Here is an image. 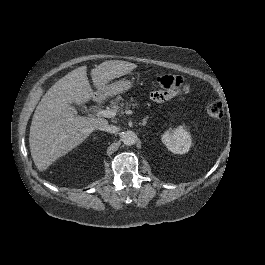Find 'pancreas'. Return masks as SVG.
<instances>
[{
  "label": "pancreas",
  "mask_w": 265,
  "mask_h": 265,
  "mask_svg": "<svg viewBox=\"0 0 265 265\" xmlns=\"http://www.w3.org/2000/svg\"><path fill=\"white\" fill-rule=\"evenodd\" d=\"M131 101H133V98H131ZM124 105H125L124 99L120 95H118L115 99L110 101V107L113 110H116L117 112L122 111L121 107H124ZM133 106H135V104H133ZM129 107L130 105L126 103V109H129Z\"/></svg>",
  "instance_id": "cf45deb5"
}]
</instances>
